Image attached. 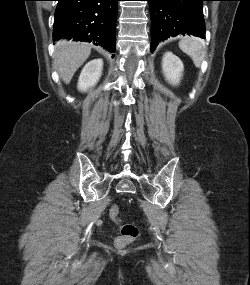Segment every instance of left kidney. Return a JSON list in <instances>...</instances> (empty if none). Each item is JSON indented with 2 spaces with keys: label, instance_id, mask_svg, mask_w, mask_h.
I'll use <instances>...</instances> for the list:
<instances>
[{
  "label": "left kidney",
  "instance_id": "1",
  "mask_svg": "<svg viewBox=\"0 0 250 285\" xmlns=\"http://www.w3.org/2000/svg\"><path fill=\"white\" fill-rule=\"evenodd\" d=\"M162 70L166 80L172 85H177L182 77L184 66L176 55L166 52L162 59Z\"/></svg>",
  "mask_w": 250,
  "mask_h": 285
}]
</instances>
